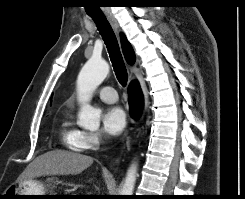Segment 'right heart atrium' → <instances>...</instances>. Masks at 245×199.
I'll return each mask as SVG.
<instances>
[{
	"label": "right heart atrium",
	"instance_id": "right-heart-atrium-1",
	"mask_svg": "<svg viewBox=\"0 0 245 199\" xmlns=\"http://www.w3.org/2000/svg\"><path fill=\"white\" fill-rule=\"evenodd\" d=\"M103 143V136L99 132H84L83 145L86 150L98 148Z\"/></svg>",
	"mask_w": 245,
	"mask_h": 199
}]
</instances>
